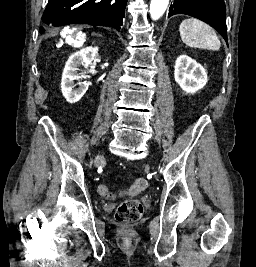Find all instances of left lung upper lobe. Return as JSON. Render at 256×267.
<instances>
[{
    "mask_svg": "<svg viewBox=\"0 0 256 267\" xmlns=\"http://www.w3.org/2000/svg\"><path fill=\"white\" fill-rule=\"evenodd\" d=\"M187 14L198 18L215 28L227 41L224 0H174L168 17Z\"/></svg>",
    "mask_w": 256,
    "mask_h": 267,
    "instance_id": "obj_1",
    "label": "left lung upper lobe"
}]
</instances>
